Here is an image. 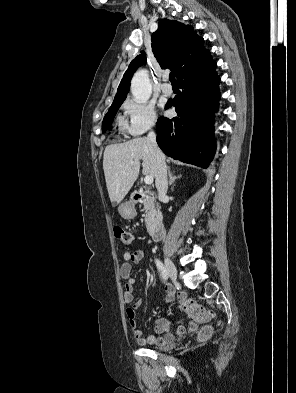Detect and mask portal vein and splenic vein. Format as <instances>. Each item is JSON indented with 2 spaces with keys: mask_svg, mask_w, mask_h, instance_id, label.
Segmentation results:
<instances>
[{
  "mask_svg": "<svg viewBox=\"0 0 296 393\" xmlns=\"http://www.w3.org/2000/svg\"><path fill=\"white\" fill-rule=\"evenodd\" d=\"M133 163V162H132ZM144 182H145V184H147V185H150V184H152L153 183V177L152 176H146L145 178H144Z\"/></svg>",
  "mask_w": 296,
  "mask_h": 393,
  "instance_id": "18ae733b",
  "label": "portal vein and splenic vein"
}]
</instances>
